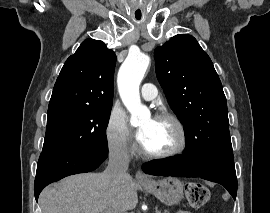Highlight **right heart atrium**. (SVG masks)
I'll return each instance as SVG.
<instances>
[{"label": "right heart atrium", "instance_id": "1", "mask_svg": "<svg viewBox=\"0 0 270 213\" xmlns=\"http://www.w3.org/2000/svg\"><path fill=\"white\" fill-rule=\"evenodd\" d=\"M105 134L108 150L113 155L129 158L133 154L135 147L130 140V130L124 112L117 108L112 109Z\"/></svg>", "mask_w": 270, "mask_h": 213}]
</instances>
